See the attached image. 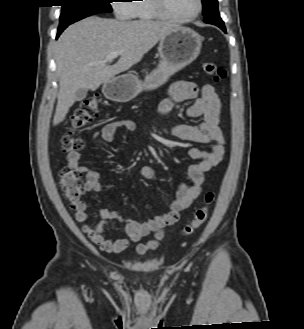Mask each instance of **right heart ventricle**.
I'll use <instances>...</instances> for the list:
<instances>
[{
	"instance_id": "right-heart-ventricle-1",
	"label": "right heart ventricle",
	"mask_w": 304,
	"mask_h": 329,
	"mask_svg": "<svg viewBox=\"0 0 304 329\" xmlns=\"http://www.w3.org/2000/svg\"><path fill=\"white\" fill-rule=\"evenodd\" d=\"M136 4H131L132 18L139 21L158 20L161 16L153 7L152 0H136Z\"/></svg>"
}]
</instances>
